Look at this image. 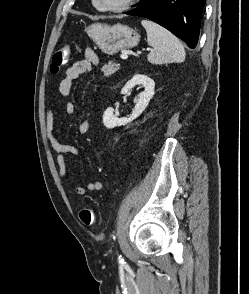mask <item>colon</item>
I'll list each match as a JSON object with an SVG mask.
<instances>
[{"instance_id": "1", "label": "colon", "mask_w": 249, "mask_h": 294, "mask_svg": "<svg viewBox=\"0 0 249 294\" xmlns=\"http://www.w3.org/2000/svg\"><path fill=\"white\" fill-rule=\"evenodd\" d=\"M70 57V47L68 45L60 46L54 56L51 63V72L58 73L61 71L69 61ZM79 218L82 224L85 226H93L96 222V216L94 211L87 206H83L79 210Z\"/></svg>"}]
</instances>
